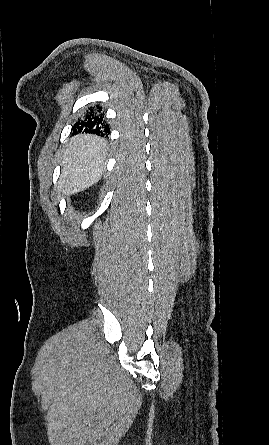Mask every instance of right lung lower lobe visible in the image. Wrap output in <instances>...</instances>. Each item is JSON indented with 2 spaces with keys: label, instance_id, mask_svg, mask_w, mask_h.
Instances as JSON below:
<instances>
[{
  "label": "right lung lower lobe",
  "instance_id": "right-lung-lower-lobe-1",
  "mask_svg": "<svg viewBox=\"0 0 269 445\" xmlns=\"http://www.w3.org/2000/svg\"><path fill=\"white\" fill-rule=\"evenodd\" d=\"M77 133L96 134L98 136H107L110 133L109 125L104 120L101 107L97 105L87 110L83 118L74 125L73 135Z\"/></svg>",
  "mask_w": 269,
  "mask_h": 445
}]
</instances>
